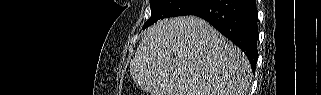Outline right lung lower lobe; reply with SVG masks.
<instances>
[{"label": "right lung lower lobe", "instance_id": "right-lung-lower-lobe-1", "mask_svg": "<svg viewBox=\"0 0 321 95\" xmlns=\"http://www.w3.org/2000/svg\"><path fill=\"white\" fill-rule=\"evenodd\" d=\"M248 57L252 70L257 63L258 12L255 0H208L195 10Z\"/></svg>", "mask_w": 321, "mask_h": 95}]
</instances>
